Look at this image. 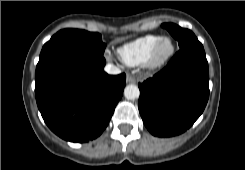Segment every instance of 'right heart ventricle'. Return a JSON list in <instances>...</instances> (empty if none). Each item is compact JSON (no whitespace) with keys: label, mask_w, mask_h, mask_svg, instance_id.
Returning <instances> with one entry per match:
<instances>
[{"label":"right heart ventricle","mask_w":245,"mask_h":170,"mask_svg":"<svg viewBox=\"0 0 245 170\" xmlns=\"http://www.w3.org/2000/svg\"><path fill=\"white\" fill-rule=\"evenodd\" d=\"M159 39L160 37L157 35L139 37L118 48V55L129 66L140 65L146 62L151 50Z\"/></svg>","instance_id":"obj_1"}]
</instances>
